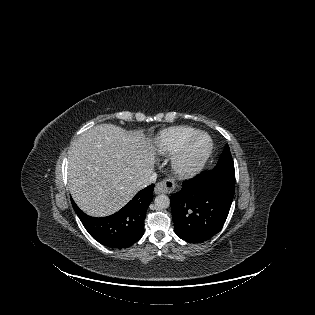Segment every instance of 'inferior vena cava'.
<instances>
[{
	"mask_svg": "<svg viewBox=\"0 0 315 315\" xmlns=\"http://www.w3.org/2000/svg\"><path fill=\"white\" fill-rule=\"evenodd\" d=\"M157 179V174L155 172H152L147 178H145L142 182H141V186L142 188L154 183Z\"/></svg>",
	"mask_w": 315,
	"mask_h": 315,
	"instance_id": "obj_1",
	"label": "inferior vena cava"
}]
</instances>
